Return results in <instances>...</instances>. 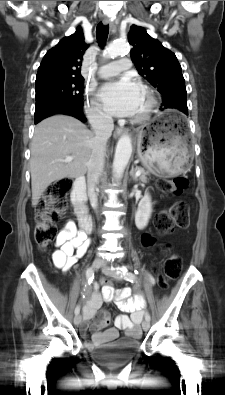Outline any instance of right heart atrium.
Wrapping results in <instances>:
<instances>
[{"label": "right heart atrium", "instance_id": "d8ad5b80", "mask_svg": "<svg viewBox=\"0 0 225 395\" xmlns=\"http://www.w3.org/2000/svg\"><path fill=\"white\" fill-rule=\"evenodd\" d=\"M88 118L96 123H104L109 120L108 115L102 110L100 105L93 99H90L86 106Z\"/></svg>", "mask_w": 225, "mask_h": 395}]
</instances>
